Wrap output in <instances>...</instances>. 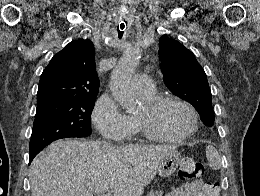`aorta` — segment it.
<instances>
[{"mask_svg":"<svg viewBox=\"0 0 260 196\" xmlns=\"http://www.w3.org/2000/svg\"><path fill=\"white\" fill-rule=\"evenodd\" d=\"M140 52L137 49L125 51L118 64L112 71L110 90L114 99L127 110L135 107V96L130 87V82L136 67L139 64Z\"/></svg>","mask_w":260,"mask_h":196,"instance_id":"aorta-1","label":"aorta"}]
</instances>
